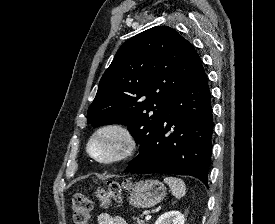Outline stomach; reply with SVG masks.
Instances as JSON below:
<instances>
[{"instance_id":"stomach-1","label":"stomach","mask_w":275,"mask_h":224,"mask_svg":"<svg viewBox=\"0 0 275 224\" xmlns=\"http://www.w3.org/2000/svg\"><path fill=\"white\" fill-rule=\"evenodd\" d=\"M166 196V187L158 180L138 181L131 186L129 203L137 208H151Z\"/></svg>"}]
</instances>
